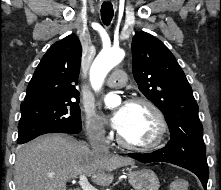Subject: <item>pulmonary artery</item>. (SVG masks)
Returning <instances> with one entry per match:
<instances>
[{
    "instance_id": "obj_1",
    "label": "pulmonary artery",
    "mask_w": 221,
    "mask_h": 190,
    "mask_svg": "<svg viewBox=\"0 0 221 190\" xmlns=\"http://www.w3.org/2000/svg\"><path fill=\"white\" fill-rule=\"evenodd\" d=\"M127 77L126 73L122 69H118L112 72L110 77L107 79L106 84L111 87H122L126 84Z\"/></svg>"
}]
</instances>
